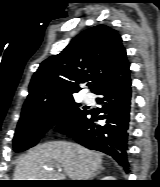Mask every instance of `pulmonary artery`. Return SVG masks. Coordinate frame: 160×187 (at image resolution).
<instances>
[{"instance_id": "pulmonary-artery-1", "label": "pulmonary artery", "mask_w": 160, "mask_h": 187, "mask_svg": "<svg viewBox=\"0 0 160 187\" xmlns=\"http://www.w3.org/2000/svg\"><path fill=\"white\" fill-rule=\"evenodd\" d=\"M84 100L87 102V103H91L92 102V97L90 95H85L84 96Z\"/></svg>"}]
</instances>
